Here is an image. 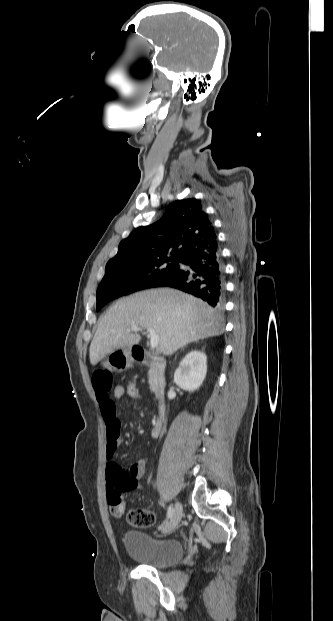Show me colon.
<instances>
[{
    "mask_svg": "<svg viewBox=\"0 0 333 621\" xmlns=\"http://www.w3.org/2000/svg\"><path fill=\"white\" fill-rule=\"evenodd\" d=\"M123 397H127L132 401H136L140 398V388L136 381H130L127 383L124 387ZM107 477L108 480L119 490L130 491L133 489V478L128 471L124 470L115 461L108 464ZM110 512L112 515L119 517L122 516L124 508L114 506L110 508ZM127 521L133 527H150L155 523V515L147 509L136 508L128 512Z\"/></svg>",
    "mask_w": 333,
    "mask_h": 621,
    "instance_id": "colon-1",
    "label": "colon"
}]
</instances>
